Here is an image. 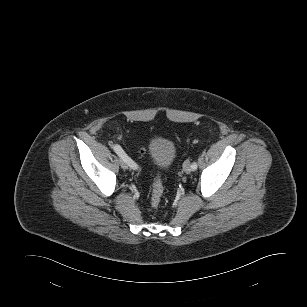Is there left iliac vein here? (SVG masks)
I'll list each match as a JSON object with an SVG mask.
<instances>
[{
  "mask_svg": "<svg viewBox=\"0 0 307 307\" xmlns=\"http://www.w3.org/2000/svg\"><path fill=\"white\" fill-rule=\"evenodd\" d=\"M183 171L186 173V174H189L191 172V165H190V162L189 161H185L184 164H183Z\"/></svg>",
  "mask_w": 307,
  "mask_h": 307,
  "instance_id": "obj_1",
  "label": "left iliac vein"
}]
</instances>
